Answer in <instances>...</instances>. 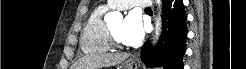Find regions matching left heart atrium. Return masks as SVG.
<instances>
[{
  "instance_id": "obj_1",
  "label": "left heart atrium",
  "mask_w": 246,
  "mask_h": 69,
  "mask_svg": "<svg viewBox=\"0 0 246 69\" xmlns=\"http://www.w3.org/2000/svg\"><path fill=\"white\" fill-rule=\"evenodd\" d=\"M144 36V27L139 13L130 11L126 16L121 30V37L124 44L132 46L141 42Z\"/></svg>"
}]
</instances>
